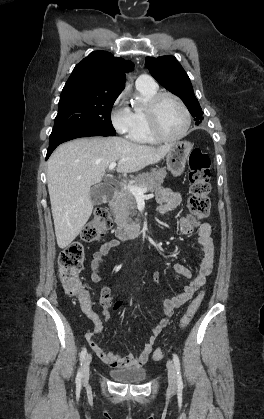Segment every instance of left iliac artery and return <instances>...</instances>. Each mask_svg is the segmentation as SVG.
Segmentation results:
<instances>
[{"label":"left iliac artery","mask_w":264,"mask_h":419,"mask_svg":"<svg viewBox=\"0 0 264 419\" xmlns=\"http://www.w3.org/2000/svg\"><path fill=\"white\" fill-rule=\"evenodd\" d=\"M173 361H174V365L177 371V383H178V386L181 387L183 386V383H182L181 372H180V360L176 354H173Z\"/></svg>","instance_id":"left-iliac-artery-1"}]
</instances>
